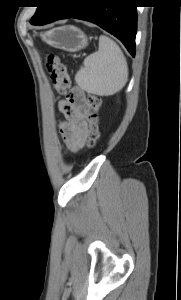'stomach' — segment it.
I'll return each mask as SVG.
<instances>
[{
	"label": "stomach",
	"mask_w": 181,
	"mask_h": 300,
	"mask_svg": "<svg viewBox=\"0 0 181 300\" xmlns=\"http://www.w3.org/2000/svg\"><path fill=\"white\" fill-rule=\"evenodd\" d=\"M42 40L52 47L68 52H77L88 45L87 36L77 27L66 25L46 31Z\"/></svg>",
	"instance_id": "obj_1"
}]
</instances>
